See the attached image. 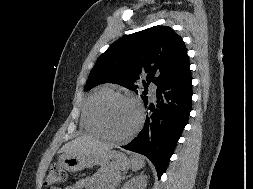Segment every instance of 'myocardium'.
<instances>
[{"label":"myocardium","instance_id":"obj_1","mask_svg":"<svg viewBox=\"0 0 253 189\" xmlns=\"http://www.w3.org/2000/svg\"><path fill=\"white\" fill-rule=\"evenodd\" d=\"M113 99H118V100H121V101L131 104L137 112V122H136L135 126L128 134H126L124 136H115L112 133H110L109 130L107 129L105 122L103 120V117H102L103 106L108 101L113 100ZM93 118H94L96 125L98 126L102 135L105 138L112 140V141H116V142H126V141H129L130 139H132L138 133V131L141 129L143 121H144V113H143L142 108L140 107V105L138 104V102L136 100H134L133 98H131L127 95H124L120 92L111 91L107 94L102 95L101 97H99L97 99V101L95 102V104L93 106Z\"/></svg>","mask_w":253,"mask_h":189}]
</instances>
